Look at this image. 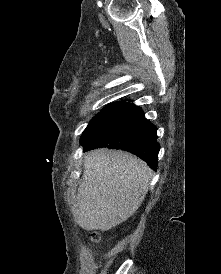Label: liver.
Returning <instances> with one entry per match:
<instances>
[{"label": "liver", "mask_w": 221, "mask_h": 274, "mask_svg": "<svg viewBox=\"0 0 221 274\" xmlns=\"http://www.w3.org/2000/svg\"><path fill=\"white\" fill-rule=\"evenodd\" d=\"M152 170L123 151L96 149L84 158L74 217L86 230L107 231L126 221L141 206Z\"/></svg>", "instance_id": "6515ba94"}]
</instances>
